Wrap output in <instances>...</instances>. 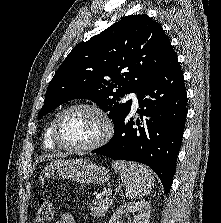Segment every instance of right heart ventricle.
Masks as SVG:
<instances>
[{
  "instance_id": "obj_1",
  "label": "right heart ventricle",
  "mask_w": 221,
  "mask_h": 223,
  "mask_svg": "<svg viewBox=\"0 0 221 223\" xmlns=\"http://www.w3.org/2000/svg\"><path fill=\"white\" fill-rule=\"evenodd\" d=\"M55 118L52 119V121L47 126L45 132H44V145L47 148H56V144L52 140V129L54 125Z\"/></svg>"
}]
</instances>
